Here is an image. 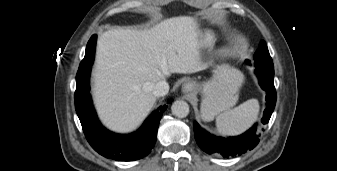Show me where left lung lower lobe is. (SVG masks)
Segmentation results:
<instances>
[{
	"label": "left lung lower lobe",
	"mask_w": 337,
	"mask_h": 171,
	"mask_svg": "<svg viewBox=\"0 0 337 171\" xmlns=\"http://www.w3.org/2000/svg\"><path fill=\"white\" fill-rule=\"evenodd\" d=\"M261 88L266 92V108L261 122L267 124L276 104L274 87V70L257 67L255 69ZM195 139L200 148L208 154L224 158L236 157L252 150L259 143L260 134L256 133V125L238 137L222 138L210 135L194 123Z\"/></svg>",
	"instance_id": "left-lung-lower-lobe-1"
}]
</instances>
